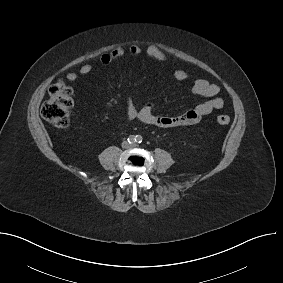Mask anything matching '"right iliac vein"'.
I'll list each match as a JSON object with an SVG mask.
<instances>
[{
	"instance_id": "63e3f726",
	"label": "right iliac vein",
	"mask_w": 283,
	"mask_h": 283,
	"mask_svg": "<svg viewBox=\"0 0 283 283\" xmlns=\"http://www.w3.org/2000/svg\"><path fill=\"white\" fill-rule=\"evenodd\" d=\"M123 146H124V147H128V144H127V143H124Z\"/></svg>"
}]
</instances>
